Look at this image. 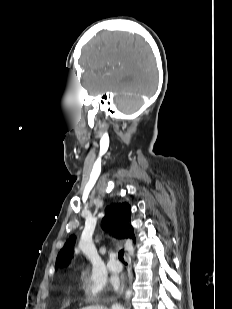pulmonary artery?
Segmentation results:
<instances>
[{
    "label": "pulmonary artery",
    "mask_w": 232,
    "mask_h": 309,
    "mask_svg": "<svg viewBox=\"0 0 232 309\" xmlns=\"http://www.w3.org/2000/svg\"><path fill=\"white\" fill-rule=\"evenodd\" d=\"M107 269L111 272V273H119L122 270V265L116 261V259L114 258V255H111L109 260L107 261Z\"/></svg>",
    "instance_id": "e3ab8cb5"
}]
</instances>
